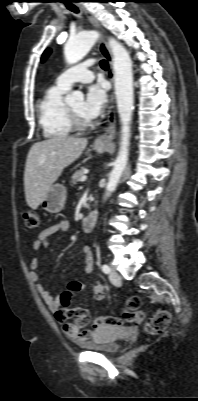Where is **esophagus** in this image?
I'll use <instances>...</instances> for the list:
<instances>
[{
	"mask_svg": "<svg viewBox=\"0 0 198 401\" xmlns=\"http://www.w3.org/2000/svg\"><path fill=\"white\" fill-rule=\"evenodd\" d=\"M81 10L86 14L88 20L91 22V24L96 28V29H101V26L98 22V20L95 18L94 14L89 12L84 6H80ZM99 49L101 54L104 56V58L108 61L109 63V71H108V77L110 81L113 83L114 82V71H113V60H112V54L111 51L107 45L106 40L101 37L99 40ZM107 128L105 132L100 135L96 140V144H108L113 140L115 137V131H116V114H115V109H114V104H113V98H111L110 106L108 108V113H107Z\"/></svg>",
	"mask_w": 198,
	"mask_h": 401,
	"instance_id": "esophagus-1",
	"label": "esophagus"
}]
</instances>
